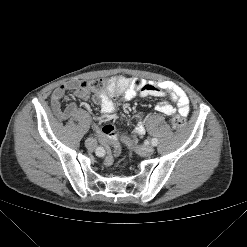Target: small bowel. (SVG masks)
<instances>
[{
  "instance_id": "small-bowel-1",
  "label": "small bowel",
  "mask_w": 247,
  "mask_h": 247,
  "mask_svg": "<svg viewBox=\"0 0 247 247\" xmlns=\"http://www.w3.org/2000/svg\"><path fill=\"white\" fill-rule=\"evenodd\" d=\"M72 91L74 95L80 99H88L90 93L84 81H68L56 87L51 95V107L55 117L65 121L78 114V107L71 103L62 106V100L66 92ZM165 98L156 105V110L164 115L172 116L179 113L181 116L189 114V98L185 91L178 85L169 82H152L141 78L115 77L107 81L106 89L93 96V101L99 105L101 113L107 118H113L115 113V105L113 99L121 97L123 100H131L136 96ZM176 103V107L171 102ZM97 130L98 128L95 127ZM136 133L144 132L143 118L141 115L137 118ZM101 143L105 147H111L118 143V137L115 132L110 136L101 135ZM111 157H107L105 162L110 164Z\"/></svg>"
}]
</instances>
